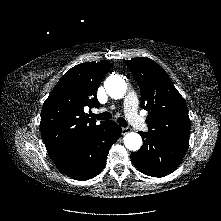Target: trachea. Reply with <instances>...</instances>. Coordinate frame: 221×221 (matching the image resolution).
Masks as SVG:
<instances>
[{"instance_id":"obj_1","label":"trachea","mask_w":221,"mask_h":221,"mask_svg":"<svg viewBox=\"0 0 221 221\" xmlns=\"http://www.w3.org/2000/svg\"><path fill=\"white\" fill-rule=\"evenodd\" d=\"M91 117L94 118V119H98V120H108V119H111L112 115L109 112H104V113H100V114H91ZM118 123L122 127H127L128 126L126 120L122 117L118 118Z\"/></svg>"}]
</instances>
